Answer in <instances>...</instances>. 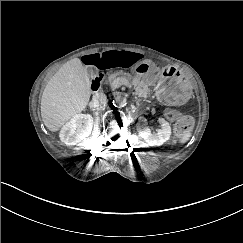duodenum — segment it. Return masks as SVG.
<instances>
[{"label": "duodenum", "mask_w": 243, "mask_h": 243, "mask_svg": "<svg viewBox=\"0 0 243 243\" xmlns=\"http://www.w3.org/2000/svg\"><path fill=\"white\" fill-rule=\"evenodd\" d=\"M102 78H103L102 74H98L92 78L91 83H90L91 90L95 91L98 89Z\"/></svg>", "instance_id": "410a0bca"}]
</instances>
